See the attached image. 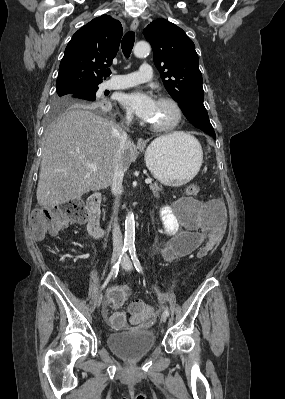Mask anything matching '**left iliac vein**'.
<instances>
[{"instance_id": "4c4485c4", "label": "left iliac vein", "mask_w": 285, "mask_h": 399, "mask_svg": "<svg viewBox=\"0 0 285 399\" xmlns=\"http://www.w3.org/2000/svg\"><path fill=\"white\" fill-rule=\"evenodd\" d=\"M122 266L124 268L125 271L127 272H131L133 269L131 260L128 256H125L123 261H122ZM167 321V315L165 313L161 314V322H166Z\"/></svg>"}]
</instances>
